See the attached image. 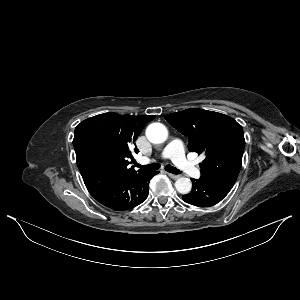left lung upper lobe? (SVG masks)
Returning <instances> with one entry per match:
<instances>
[{"label":"left lung upper lobe","mask_w":300,"mask_h":300,"mask_svg":"<svg viewBox=\"0 0 300 300\" xmlns=\"http://www.w3.org/2000/svg\"><path fill=\"white\" fill-rule=\"evenodd\" d=\"M165 119L188 136L190 152L205 155L200 178L232 189L245 146L242 126L229 116L197 108L168 114Z\"/></svg>","instance_id":"1"}]
</instances>
